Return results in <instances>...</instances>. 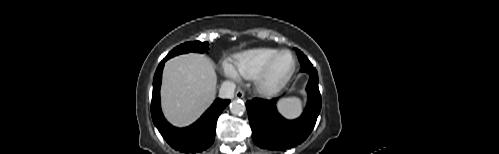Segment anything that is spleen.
I'll return each instance as SVG.
<instances>
[{
	"mask_svg": "<svg viewBox=\"0 0 499 154\" xmlns=\"http://www.w3.org/2000/svg\"><path fill=\"white\" fill-rule=\"evenodd\" d=\"M279 111L287 118H295L302 111V101L297 97L281 99L278 104Z\"/></svg>",
	"mask_w": 499,
	"mask_h": 154,
	"instance_id": "3e777b00",
	"label": "spleen"
}]
</instances>
